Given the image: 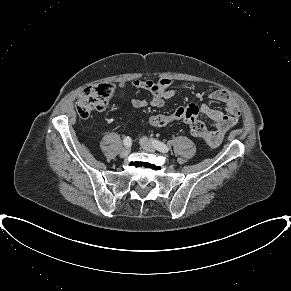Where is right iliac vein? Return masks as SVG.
<instances>
[{
  "instance_id": "1",
  "label": "right iliac vein",
  "mask_w": 291,
  "mask_h": 291,
  "mask_svg": "<svg viewBox=\"0 0 291 291\" xmlns=\"http://www.w3.org/2000/svg\"><path fill=\"white\" fill-rule=\"evenodd\" d=\"M130 151H131L130 147L122 148L121 151H120V157L124 158V157L128 156Z\"/></svg>"
}]
</instances>
